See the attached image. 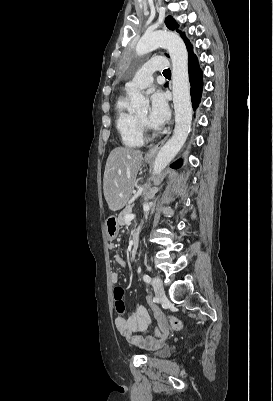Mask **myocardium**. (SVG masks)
Listing matches in <instances>:
<instances>
[{
	"mask_svg": "<svg viewBox=\"0 0 273 401\" xmlns=\"http://www.w3.org/2000/svg\"><path fill=\"white\" fill-rule=\"evenodd\" d=\"M136 119H137V122H138L141 130L145 131L148 128V125H147L146 121L140 119L137 115H136Z\"/></svg>",
	"mask_w": 273,
	"mask_h": 401,
	"instance_id": "1",
	"label": "myocardium"
}]
</instances>
